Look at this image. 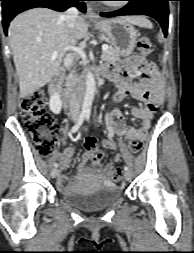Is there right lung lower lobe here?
<instances>
[{"mask_svg":"<svg viewBox=\"0 0 194 253\" xmlns=\"http://www.w3.org/2000/svg\"><path fill=\"white\" fill-rule=\"evenodd\" d=\"M2 4V23L4 32L7 35V29L10 21L20 12L25 10L46 7L56 11H64L71 6L77 7L80 11L85 12V0H0Z\"/></svg>","mask_w":194,"mask_h":253,"instance_id":"98d812e1","label":"right lung lower lobe"}]
</instances>
